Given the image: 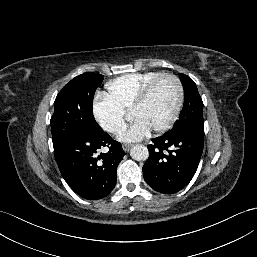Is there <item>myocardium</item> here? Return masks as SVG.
Masks as SVG:
<instances>
[{"instance_id":"obj_1","label":"myocardium","mask_w":257,"mask_h":257,"mask_svg":"<svg viewBox=\"0 0 257 257\" xmlns=\"http://www.w3.org/2000/svg\"><path fill=\"white\" fill-rule=\"evenodd\" d=\"M165 78H169L175 82L177 87V101L170 118L163 125L153 129L155 133H163L169 130L178 119L184 102V87L178 76L172 73H162L157 76L140 92L139 96L137 97L136 101L130 109L131 114L136 110L140 109L147 102L148 98L150 97L152 91L157 86V84Z\"/></svg>"}]
</instances>
